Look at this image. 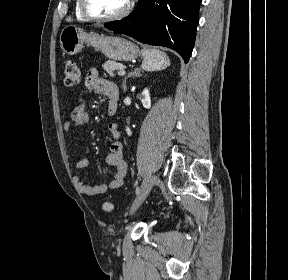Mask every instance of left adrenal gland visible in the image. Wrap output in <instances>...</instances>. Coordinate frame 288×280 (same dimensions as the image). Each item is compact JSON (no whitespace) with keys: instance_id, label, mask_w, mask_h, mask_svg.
<instances>
[{"instance_id":"1","label":"left adrenal gland","mask_w":288,"mask_h":280,"mask_svg":"<svg viewBox=\"0 0 288 280\" xmlns=\"http://www.w3.org/2000/svg\"><path fill=\"white\" fill-rule=\"evenodd\" d=\"M141 72H142V69L135 68L133 71L128 73L127 77H125L124 80H123V90H124V92H126V90H127V86H126L127 79H129L130 77H140V76H142Z\"/></svg>"}]
</instances>
